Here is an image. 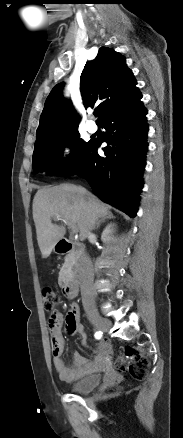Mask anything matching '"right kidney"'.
<instances>
[{
	"mask_svg": "<svg viewBox=\"0 0 183 438\" xmlns=\"http://www.w3.org/2000/svg\"><path fill=\"white\" fill-rule=\"evenodd\" d=\"M113 227H114V224H109L105 229H104V231H103V233H102V236H101V238H102V240L103 241H109L110 240V234H112L113 233Z\"/></svg>",
	"mask_w": 183,
	"mask_h": 438,
	"instance_id": "ca27d5eb",
	"label": "right kidney"
}]
</instances>
